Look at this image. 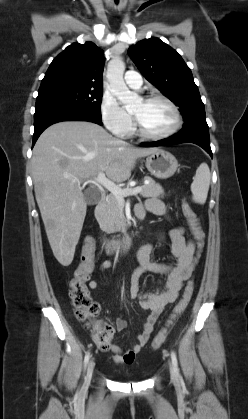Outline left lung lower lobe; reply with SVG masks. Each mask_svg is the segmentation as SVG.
<instances>
[{
	"instance_id": "1",
	"label": "left lung lower lobe",
	"mask_w": 248,
	"mask_h": 419,
	"mask_svg": "<svg viewBox=\"0 0 248 419\" xmlns=\"http://www.w3.org/2000/svg\"><path fill=\"white\" fill-rule=\"evenodd\" d=\"M179 143H194L202 147L211 157L209 128L205 120H197L194 123L185 126L179 133L170 138H166L157 142L142 143L145 147L174 145Z\"/></svg>"
}]
</instances>
